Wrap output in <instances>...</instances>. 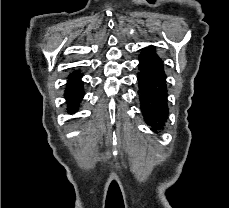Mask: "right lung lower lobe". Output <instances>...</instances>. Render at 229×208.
<instances>
[{"mask_svg": "<svg viewBox=\"0 0 229 208\" xmlns=\"http://www.w3.org/2000/svg\"><path fill=\"white\" fill-rule=\"evenodd\" d=\"M81 77V74L79 76L72 75L69 77V81L65 89V98L67 100L69 113L77 111V106L83 98V86L82 82L79 80Z\"/></svg>", "mask_w": 229, "mask_h": 208, "instance_id": "98d812e1", "label": "right lung lower lobe"}]
</instances>
